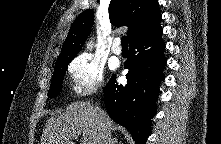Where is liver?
<instances>
[{"mask_svg": "<svg viewBox=\"0 0 221 144\" xmlns=\"http://www.w3.org/2000/svg\"><path fill=\"white\" fill-rule=\"evenodd\" d=\"M100 117H103L109 132L116 129L104 111L87 102H73L63 114L47 121L41 144H74L71 140L77 135H82L81 144H99L102 129Z\"/></svg>", "mask_w": 221, "mask_h": 144, "instance_id": "obj_1", "label": "liver"}]
</instances>
